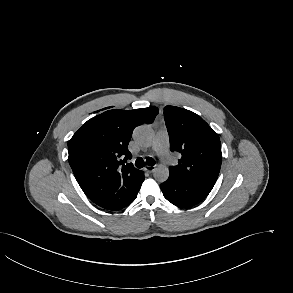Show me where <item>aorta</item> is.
<instances>
[{
	"label": "aorta",
	"mask_w": 293,
	"mask_h": 293,
	"mask_svg": "<svg viewBox=\"0 0 293 293\" xmlns=\"http://www.w3.org/2000/svg\"><path fill=\"white\" fill-rule=\"evenodd\" d=\"M134 139L143 146H150L154 140V132L148 125H140L134 130ZM153 176L158 182H164L169 177V170L164 165L154 168Z\"/></svg>",
	"instance_id": "obj_1"
}]
</instances>
